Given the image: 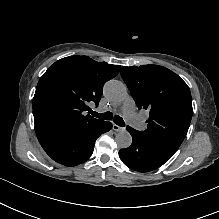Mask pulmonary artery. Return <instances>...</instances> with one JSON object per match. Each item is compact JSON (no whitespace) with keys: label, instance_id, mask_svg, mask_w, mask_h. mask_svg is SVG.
Instances as JSON below:
<instances>
[{"label":"pulmonary artery","instance_id":"obj_1","mask_svg":"<svg viewBox=\"0 0 219 219\" xmlns=\"http://www.w3.org/2000/svg\"><path fill=\"white\" fill-rule=\"evenodd\" d=\"M122 110H123V114H124L125 117H128L129 115H131L134 112L135 102H134L133 98L130 95H128L124 99Z\"/></svg>","mask_w":219,"mask_h":219}]
</instances>
